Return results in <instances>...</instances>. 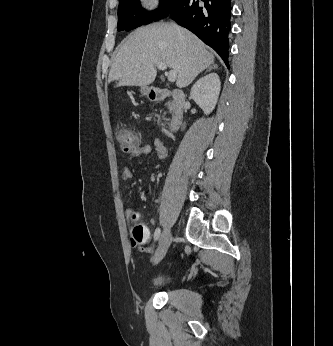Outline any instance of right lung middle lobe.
Instances as JSON below:
<instances>
[{
  "instance_id": "obj_1",
  "label": "right lung middle lobe",
  "mask_w": 333,
  "mask_h": 346,
  "mask_svg": "<svg viewBox=\"0 0 333 346\" xmlns=\"http://www.w3.org/2000/svg\"><path fill=\"white\" fill-rule=\"evenodd\" d=\"M140 0H119L117 30L130 31L169 15L180 0H160L159 9L146 12L140 8Z\"/></svg>"
}]
</instances>
